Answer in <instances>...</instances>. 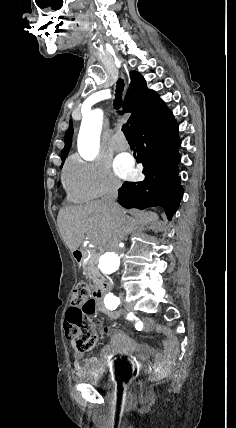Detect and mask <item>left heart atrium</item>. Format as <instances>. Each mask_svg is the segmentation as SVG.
Here are the masks:
<instances>
[{
    "label": "left heart atrium",
    "mask_w": 236,
    "mask_h": 428,
    "mask_svg": "<svg viewBox=\"0 0 236 428\" xmlns=\"http://www.w3.org/2000/svg\"><path fill=\"white\" fill-rule=\"evenodd\" d=\"M114 171L121 178L128 179L133 174V161L129 156H121L114 163Z\"/></svg>",
    "instance_id": "left-heart-atrium-1"
}]
</instances>
